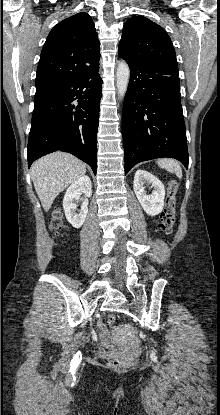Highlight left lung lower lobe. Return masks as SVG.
Returning a JSON list of instances; mask_svg holds the SVG:
<instances>
[{"label": "left lung lower lobe", "mask_w": 220, "mask_h": 415, "mask_svg": "<svg viewBox=\"0 0 220 415\" xmlns=\"http://www.w3.org/2000/svg\"><path fill=\"white\" fill-rule=\"evenodd\" d=\"M129 68L122 111L125 174L139 162L162 157L175 158L188 168L178 76Z\"/></svg>", "instance_id": "left-lung-lower-lobe-1"}]
</instances>
